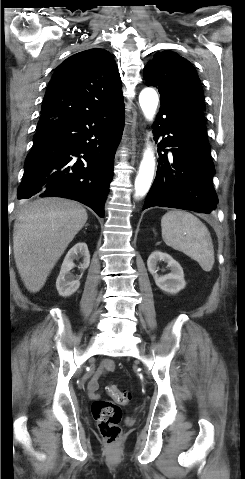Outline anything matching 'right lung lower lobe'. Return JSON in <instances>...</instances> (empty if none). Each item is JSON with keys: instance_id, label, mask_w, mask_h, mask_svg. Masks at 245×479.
<instances>
[{"instance_id": "98d812e1", "label": "right lung lower lobe", "mask_w": 245, "mask_h": 479, "mask_svg": "<svg viewBox=\"0 0 245 479\" xmlns=\"http://www.w3.org/2000/svg\"><path fill=\"white\" fill-rule=\"evenodd\" d=\"M124 106L56 119L34 135L18 199L34 195L79 201L104 217Z\"/></svg>"}]
</instances>
